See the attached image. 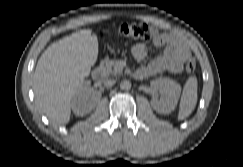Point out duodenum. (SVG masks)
I'll return each instance as SVG.
<instances>
[{"instance_id":"410a0bca","label":"duodenum","mask_w":243,"mask_h":167,"mask_svg":"<svg viewBox=\"0 0 243 167\" xmlns=\"http://www.w3.org/2000/svg\"><path fill=\"white\" fill-rule=\"evenodd\" d=\"M92 79L97 82L101 83L104 80V72L103 69L99 66L95 67L92 71Z\"/></svg>"}]
</instances>
